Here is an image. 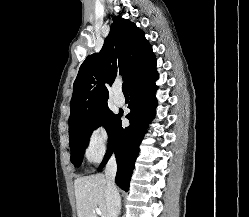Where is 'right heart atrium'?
Wrapping results in <instances>:
<instances>
[{
	"mask_svg": "<svg viewBox=\"0 0 249 217\" xmlns=\"http://www.w3.org/2000/svg\"><path fill=\"white\" fill-rule=\"evenodd\" d=\"M108 133L103 125L94 127L89 136L85 147V156L90 162H98L105 153L108 143Z\"/></svg>",
	"mask_w": 249,
	"mask_h": 217,
	"instance_id": "d8ad5b80",
	"label": "right heart atrium"
}]
</instances>
